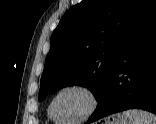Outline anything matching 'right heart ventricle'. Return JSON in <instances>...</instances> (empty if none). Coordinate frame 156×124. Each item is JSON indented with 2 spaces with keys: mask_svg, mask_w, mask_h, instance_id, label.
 <instances>
[{
  "mask_svg": "<svg viewBox=\"0 0 156 124\" xmlns=\"http://www.w3.org/2000/svg\"><path fill=\"white\" fill-rule=\"evenodd\" d=\"M48 116L49 118L54 122V123H58V124H64L65 122H63V119H59L58 117L55 118L52 113L50 112L49 108H48Z\"/></svg>",
  "mask_w": 156,
  "mask_h": 124,
  "instance_id": "1",
  "label": "right heart ventricle"
}]
</instances>
